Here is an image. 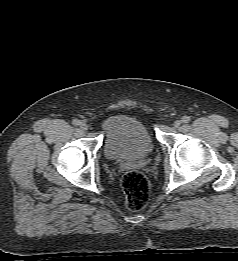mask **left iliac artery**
I'll list each match as a JSON object with an SVG mask.
<instances>
[{
  "mask_svg": "<svg viewBox=\"0 0 238 261\" xmlns=\"http://www.w3.org/2000/svg\"><path fill=\"white\" fill-rule=\"evenodd\" d=\"M189 121H190V117L189 116L182 117V122L183 123H188Z\"/></svg>",
  "mask_w": 238,
  "mask_h": 261,
  "instance_id": "left-iliac-artery-1",
  "label": "left iliac artery"
}]
</instances>
